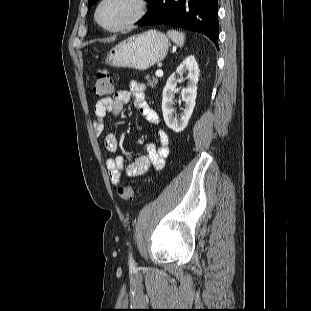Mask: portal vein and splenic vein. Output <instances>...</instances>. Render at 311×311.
Instances as JSON below:
<instances>
[{
	"mask_svg": "<svg viewBox=\"0 0 311 311\" xmlns=\"http://www.w3.org/2000/svg\"><path fill=\"white\" fill-rule=\"evenodd\" d=\"M155 75L157 77H162L163 76V71L161 69H159V70L156 71Z\"/></svg>",
	"mask_w": 311,
	"mask_h": 311,
	"instance_id": "obj_1",
	"label": "portal vein and splenic vein"
}]
</instances>
